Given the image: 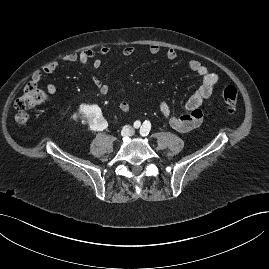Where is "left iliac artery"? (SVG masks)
<instances>
[{
    "instance_id": "left-iliac-artery-1",
    "label": "left iliac artery",
    "mask_w": 269,
    "mask_h": 269,
    "mask_svg": "<svg viewBox=\"0 0 269 269\" xmlns=\"http://www.w3.org/2000/svg\"><path fill=\"white\" fill-rule=\"evenodd\" d=\"M150 129H151V124H150L149 121L146 120V121L143 123V125L141 126V128H140V134H141L142 136H146V135L149 134Z\"/></svg>"
}]
</instances>
